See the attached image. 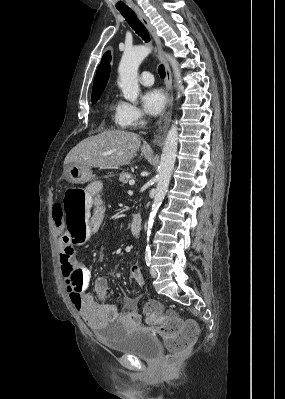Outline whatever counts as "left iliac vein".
<instances>
[{
    "instance_id": "left-iliac-vein-1",
    "label": "left iliac vein",
    "mask_w": 285,
    "mask_h": 399,
    "mask_svg": "<svg viewBox=\"0 0 285 399\" xmlns=\"http://www.w3.org/2000/svg\"><path fill=\"white\" fill-rule=\"evenodd\" d=\"M150 275L152 278H156L157 277V271L155 268H150Z\"/></svg>"
}]
</instances>
